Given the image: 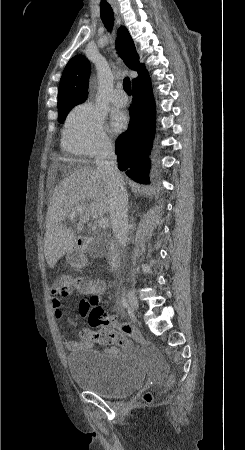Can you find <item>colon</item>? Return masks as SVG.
Returning <instances> with one entry per match:
<instances>
[{"label": "colon", "instance_id": "5ec220e1", "mask_svg": "<svg viewBox=\"0 0 245 450\" xmlns=\"http://www.w3.org/2000/svg\"><path fill=\"white\" fill-rule=\"evenodd\" d=\"M63 285L74 287L76 290L84 293H92L94 286L87 276L77 275L64 279ZM88 322L92 328H99L98 331H84L82 336L88 339H94L98 343L105 345H120L124 346L129 342L126 337L131 336L136 340H141L139 334L135 332L133 327L127 323H122L117 317L110 315L96 300L91 298L90 305L86 307ZM117 326L121 332L116 331L114 327ZM171 384L172 381L169 380ZM143 399L146 402L152 400L151 394L145 393Z\"/></svg>", "mask_w": 245, "mask_h": 450}]
</instances>
